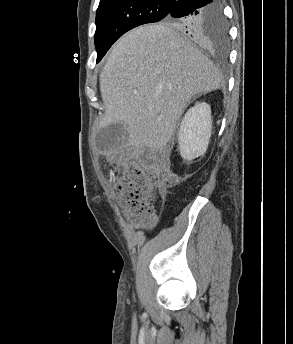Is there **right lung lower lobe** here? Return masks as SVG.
<instances>
[{
  "mask_svg": "<svg viewBox=\"0 0 293 344\" xmlns=\"http://www.w3.org/2000/svg\"><path fill=\"white\" fill-rule=\"evenodd\" d=\"M218 3L219 0H176L169 13V17L174 19H189L183 25L184 33L193 40L203 44L201 41L205 27L200 25L194 18L200 14L212 12Z\"/></svg>",
  "mask_w": 293,
  "mask_h": 344,
  "instance_id": "1",
  "label": "right lung lower lobe"
}]
</instances>
